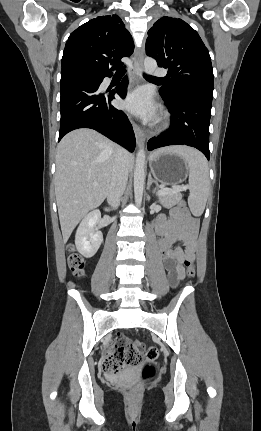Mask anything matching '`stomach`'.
Here are the masks:
<instances>
[{
	"instance_id": "1",
	"label": "stomach",
	"mask_w": 261,
	"mask_h": 431,
	"mask_svg": "<svg viewBox=\"0 0 261 431\" xmlns=\"http://www.w3.org/2000/svg\"><path fill=\"white\" fill-rule=\"evenodd\" d=\"M150 171L156 181L165 185L182 183L189 174L188 165L180 156L166 152L152 154Z\"/></svg>"
}]
</instances>
